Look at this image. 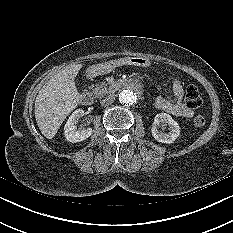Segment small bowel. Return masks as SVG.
I'll use <instances>...</instances> for the list:
<instances>
[{"label":"small bowel","instance_id":"obj_1","mask_svg":"<svg viewBox=\"0 0 233 233\" xmlns=\"http://www.w3.org/2000/svg\"><path fill=\"white\" fill-rule=\"evenodd\" d=\"M171 80L173 97H157L155 100V107L158 110L178 117L191 118L194 112L183 102L184 89L182 83L175 77H172Z\"/></svg>","mask_w":233,"mask_h":233}]
</instances>
